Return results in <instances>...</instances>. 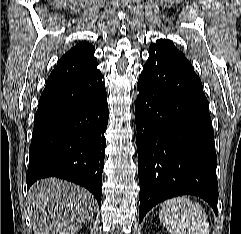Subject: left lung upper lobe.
Masks as SVG:
<instances>
[{"label":"left lung upper lobe","mask_w":241,"mask_h":234,"mask_svg":"<svg viewBox=\"0 0 241 234\" xmlns=\"http://www.w3.org/2000/svg\"><path fill=\"white\" fill-rule=\"evenodd\" d=\"M150 48H155V49H159V50H165L168 51L170 53H172L173 55L183 59V60H187L184 55L174 46V44L169 41V40H165V39H160L156 41V44H151Z\"/></svg>","instance_id":"5c2ea615"}]
</instances>
